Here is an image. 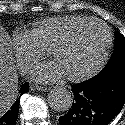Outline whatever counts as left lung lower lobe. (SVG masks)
<instances>
[{
	"label": "left lung lower lobe",
	"instance_id": "0a47b994",
	"mask_svg": "<svg viewBox=\"0 0 125 125\" xmlns=\"http://www.w3.org/2000/svg\"><path fill=\"white\" fill-rule=\"evenodd\" d=\"M71 90L75 98L59 118L61 125H107L125 103V68L75 84Z\"/></svg>",
	"mask_w": 125,
	"mask_h": 125
}]
</instances>
